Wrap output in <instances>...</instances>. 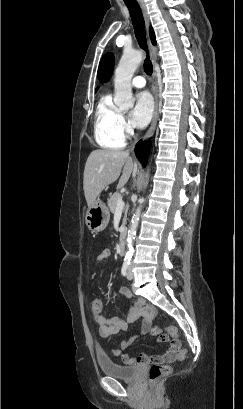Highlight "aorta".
<instances>
[{"label": "aorta", "mask_w": 243, "mask_h": 409, "mask_svg": "<svg viewBox=\"0 0 243 409\" xmlns=\"http://www.w3.org/2000/svg\"><path fill=\"white\" fill-rule=\"evenodd\" d=\"M143 58V54L140 51H124L119 61V64L115 70L114 88L115 97L114 103L121 109L127 110L134 105V97L131 87V79L134 72L140 65ZM148 175L146 174V177ZM147 184V182H146ZM140 202L143 203L144 199L141 198ZM142 206L140 205L135 214L132 217L130 228L127 235V252L126 258L130 259L133 255V243L136 236L138 222L141 214Z\"/></svg>", "instance_id": "1"}]
</instances>
